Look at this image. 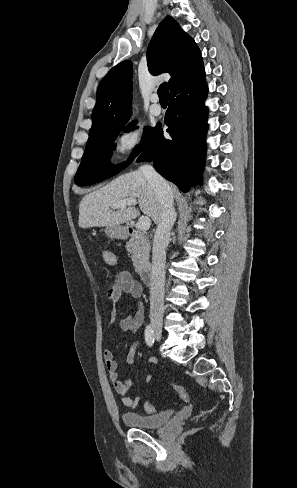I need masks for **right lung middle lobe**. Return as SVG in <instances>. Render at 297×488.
<instances>
[{"mask_svg":"<svg viewBox=\"0 0 297 488\" xmlns=\"http://www.w3.org/2000/svg\"><path fill=\"white\" fill-rule=\"evenodd\" d=\"M134 124V122L129 124L125 130H130ZM124 127L125 125L114 128H102L89 137L82 162L75 175L74 182L77 185H91L119 173L148 146L156 130L155 128H148L142 137L141 143L134 149L129 160L126 163L114 166L109 163V155L114 149L113 142Z\"/></svg>","mask_w":297,"mask_h":488,"instance_id":"1","label":"right lung middle lobe"}]
</instances>
